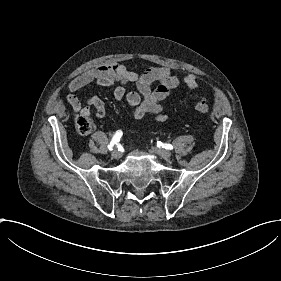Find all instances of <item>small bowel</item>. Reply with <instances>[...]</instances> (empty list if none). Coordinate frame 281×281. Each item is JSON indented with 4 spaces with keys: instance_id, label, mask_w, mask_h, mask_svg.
Listing matches in <instances>:
<instances>
[{
    "instance_id": "small-bowel-1",
    "label": "small bowel",
    "mask_w": 281,
    "mask_h": 281,
    "mask_svg": "<svg viewBox=\"0 0 281 281\" xmlns=\"http://www.w3.org/2000/svg\"><path fill=\"white\" fill-rule=\"evenodd\" d=\"M183 83L188 89L197 86V77L193 74L183 79L173 75L165 68H150L144 73L128 70L121 64H109L95 69L73 79L68 85L67 100L76 112L90 113V106L96 109L98 117H103L106 105L102 98L93 96L83 101L76 92L89 84L112 87V97L116 101H126L133 107V117L143 119L150 115L158 122L167 120L161 102L170 95L171 91ZM156 88L152 89V85ZM124 85H133L137 91H126Z\"/></svg>"
}]
</instances>
